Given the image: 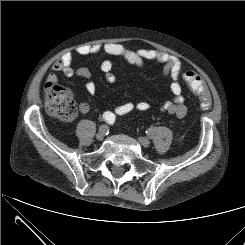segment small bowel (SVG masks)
<instances>
[{
  "mask_svg": "<svg viewBox=\"0 0 245 245\" xmlns=\"http://www.w3.org/2000/svg\"><path fill=\"white\" fill-rule=\"evenodd\" d=\"M76 52L79 55L98 53L102 56L117 57L137 67H143L147 61L161 64L163 66V75L172 80L170 84L172 97L163 103L162 111L178 119H182L186 116L187 107L184 103L182 85L179 80L183 66L179 58L156 50H132L116 43L81 45L77 48ZM73 60V54L66 53L53 63L51 66L52 72L47 75L48 83H56L58 81V77L54 72H62L67 77L76 75L89 79L91 77L90 71L87 68L75 70L72 65ZM113 69V62L110 59L105 58L102 60L101 70L108 83H114L116 81V75ZM86 90L89 94L93 95L96 91L95 84L92 81H88ZM89 109L88 103L82 102L79 104V111L81 113H87ZM148 109L149 103L147 101H128L116 106L112 111H106L103 114V119L105 120V117L109 115L107 118L115 121L116 116L126 115L133 111L146 112Z\"/></svg>",
  "mask_w": 245,
  "mask_h": 245,
  "instance_id": "c3829d8e",
  "label": "small bowel"
}]
</instances>
